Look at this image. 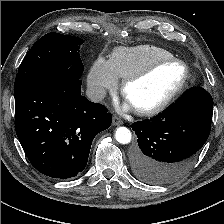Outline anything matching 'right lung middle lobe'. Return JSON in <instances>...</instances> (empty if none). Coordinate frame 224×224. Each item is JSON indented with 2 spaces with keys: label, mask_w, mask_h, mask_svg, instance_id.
I'll return each instance as SVG.
<instances>
[{
  "label": "right lung middle lobe",
  "mask_w": 224,
  "mask_h": 224,
  "mask_svg": "<svg viewBox=\"0 0 224 224\" xmlns=\"http://www.w3.org/2000/svg\"><path fill=\"white\" fill-rule=\"evenodd\" d=\"M82 39L59 33H48L29 50L19 66L14 95L26 86L50 77L80 79L83 64L78 52Z\"/></svg>",
  "instance_id": "1"
}]
</instances>
